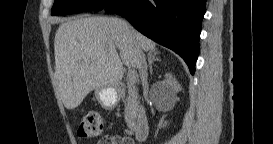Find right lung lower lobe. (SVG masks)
<instances>
[{"label":"right lung lower lobe","instance_id":"98d812e1","mask_svg":"<svg viewBox=\"0 0 273 144\" xmlns=\"http://www.w3.org/2000/svg\"><path fill=\"white\" fill-rule=\"evenodd\" d=\"M205 6L206 0H112L104 8L179 54L193 75Z\"/></svg>","mask_w":273,"mask_h":144}]
</instances>
